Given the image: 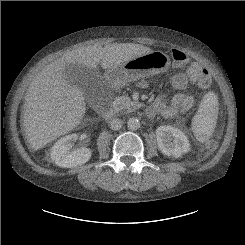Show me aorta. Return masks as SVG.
Returning <instances> with one entry per match:
<instances>
[{
	"label": "aorta",
	"instance_id": "762f6f07",
	"mask_svg": "<svg viewBox=\"0 0 245 245\" xmlns=\"http://www.w3.org/2000/svg\"><path fill=\"white\" fill-rule=\"evenodd\" d=\"M127 126L130 130H137L140 127V122L137 118H130L127 121Z\"/></svg>",
	"mask_w": 245,
	"mask_h": 245
}]
</instances>
